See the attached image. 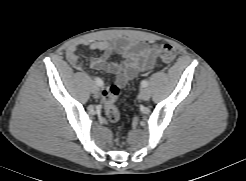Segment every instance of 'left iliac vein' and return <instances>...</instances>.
<instances>
[{
    "label": "left iliac vein",
    "instance_id": "left-iliac-vein-1",
    "mask_svg": "<svg viewBox=\"0 0 246 181\" xmlns=\"http://www.w3.org/2000/svg\"><path fill=\"white\" fill-rule=\"evenodd\" d=\"M139 97L142 100H148L150 98V91L147 88L141 89Z\"/></svg>",
    "mask_w": 246,
    "mask_h": 181
}]
</instances>
